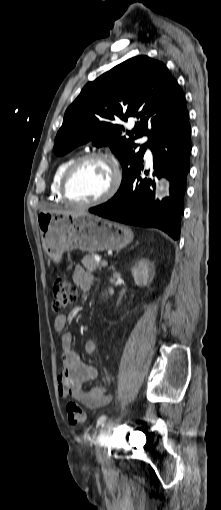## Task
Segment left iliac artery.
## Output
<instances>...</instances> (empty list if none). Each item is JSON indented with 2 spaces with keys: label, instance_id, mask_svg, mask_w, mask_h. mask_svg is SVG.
<instances>
[{
  "label": "left iliac artery",
  "instance_id": "obj_1",
  "mask_svg": "<svg viewBox=\"0 0 221 510\" xmlns=\"http://www.w3.org/2000/svg\"><path fill=\"white\" fill-rule=\"evenodd\" d=\"M106 419H107V416H106V415H102V416H100V418H99V419H98V421H97V424H98L99 426H103V425H104V423H105V421H106Z\"/></svg>",
  "mask_w": 221,
  "mask_h": 510
}]
</instances>
